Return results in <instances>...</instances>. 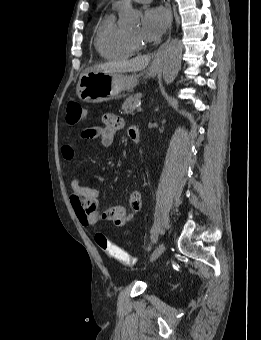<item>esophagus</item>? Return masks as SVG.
<instances>
[{
  "label": "esophagus",
  "instance_id": "34e87169",
  "mask_svg": "<svg viewBox=\"0 0 261 340\" xmlns=\"http://www.w3.org/2000/svg\"><path fill=\"white\" fill-rule=\"evenodd\" d=\"M165 6L169 11L170 14V28H169V35L167 40L160 46V48L156 51L155 55H154V62H161L164 58L165 55V50L168 46V43L170 41V37H171V29H172V9H171V4H170V0H164Z\"/></svg>",
  "mask_w": 261,
  "mask_h": 340
}]
</instances>
